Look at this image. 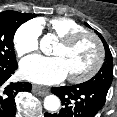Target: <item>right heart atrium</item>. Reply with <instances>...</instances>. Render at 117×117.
I'll list each match as a JSON object with an SVG mask.
<instances>
[{"mask_svg": "<svg viewBox=\"0 0 117 117\" xmlns=\"http://www.w3.org/2000/svg\"><path fill=\"white\" fill-rule=\"evenodd\" d=\"M42 29L37 20L22 24L14 35V46L19 56L35 52L39 48Z\"/></svg>", "mask_w": 117, "mask_h": 117, "instance_id": "1", "label": "right heart atrium"}]
</instances>
